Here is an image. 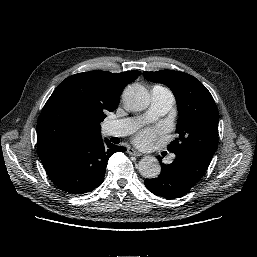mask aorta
Segmentation results:
<instances>
[{"instance_id": "aorta-1", "label": "aorta", "mask_w": 257, "mask_h": 257, "mask_svg": "<svg viewBox=\"0 0 257 257\" xmlns=\"http://www.w3.org/2000/svg\"><path fill=\"white\" fill-rule=\"evenodd\" d=\"M126 108L132 111H141L148 107L150 95L148 90L139 84L129 85L122 94ZM140 174L145 178H155L161 172L159 161L153 156L142 158L138 164Z\"/></svg>"}]
</instances>
